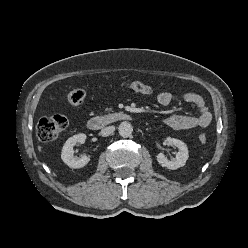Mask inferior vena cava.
Wrapping results in <instances>:
<instances>
[{
  "label": "inferior vena cava",
  "instance_id": "602c4592",
  "mask_svg": "<svg viewBox=\"0 0 248 248\" xmlns=\"http://www.w3.org/2000/svg\"><path fill=\"white\" fill-rule=\"evenodd\" d=\"M114 131H115L114 126H108V127H105L101 130L100 135L103 137H107V136L111 135Z\"/></svg>",
  "mask_w": 248,
  "mask_h": 248
}]
</instances>
